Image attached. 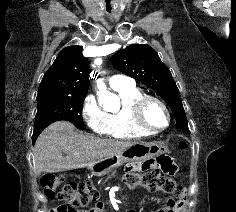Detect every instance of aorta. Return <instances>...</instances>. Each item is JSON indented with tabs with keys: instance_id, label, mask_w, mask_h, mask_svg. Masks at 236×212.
Returning <instances> with one entry per match:
<instances>
[{
	"instance_id": "1",
	"label": "aorta",
	"mask_w": 236,
	"mask_h": 212,
	"mask_svg": "<svg viewBox=\"0 0 236 212\" xmlns=\"http://www.w3.org/2000/svg\"><path fill=\"white\" fill-rule=\"evenodd\" d=\"M102 60L101 59H96L94 61L95 64L99 65L101 64ZM97 83V88H98V96L100 101L104 103V106L106 108H116L120 104V100L118 96L114 93H111L107 91L105 83L102 81V79H98L96 81Z\"/></svg>"
}]
</instances>
